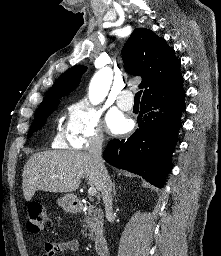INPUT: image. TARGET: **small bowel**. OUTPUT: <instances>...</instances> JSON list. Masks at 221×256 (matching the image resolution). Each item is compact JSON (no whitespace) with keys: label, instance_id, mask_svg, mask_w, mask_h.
I'll use <instances>...</instances> for the list:
<instances>
[{"label":"small bowel","instance_id":"small-bowel-1","mask_svg":"<svg viewBox=\"0 0 221 256\" xmlns=\"http://www.w3.org/2000/svg\"><path fill=\"white\" fill-rule=\"evenodd\" d=\"M80 242L77 239H68L61 242H47L44 244L42 256H55L58 252H77Z\"/></svg>","mask_w":221,"mask_h":256}]
</instances>
